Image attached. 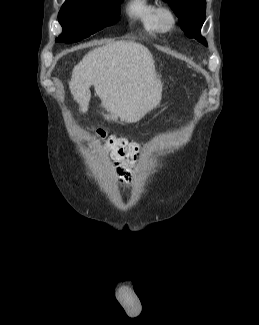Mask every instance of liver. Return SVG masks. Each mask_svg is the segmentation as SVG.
<instances>
[{"instance_id": "6515ba94", "label": "liver", "mask_w": 259, "mask_h": 325, "mask_svg": "<svg viewBox=\"0 0 259 325\" xmlns=\"http://www.w3.org/2000/svg\"><path fill=\"white\" fill-rule=\"evenodd\" d=\"M94 85L108 121L135 123L161 101L154 59L143 45L116 41L89 51L73 68L69 88L80 111H88Z\"/></svg>"}]
</instances>
